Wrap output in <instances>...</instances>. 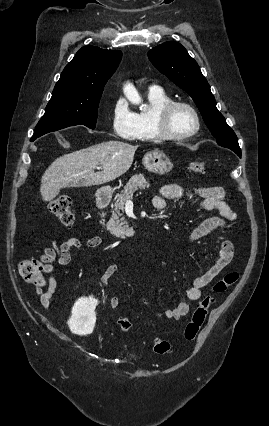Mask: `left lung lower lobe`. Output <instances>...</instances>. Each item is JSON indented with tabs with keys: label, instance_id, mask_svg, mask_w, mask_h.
<instances>
[{
	"label": "left lung lower lobe",
	"instance_id": "obj_1",
	"mask_svg": "<svg viewBox=\"0 0 269 426\" xmlns=\"http://www.w3.org/2000/svg\"><path fill=\"white\" fill-rule=\"evenodd\" d=\"M238 156H240L241 157V150H239V151H234Z\"/></svg>",
	"mask_w": 269,
	"mask_h": 426
}]
</instances>
